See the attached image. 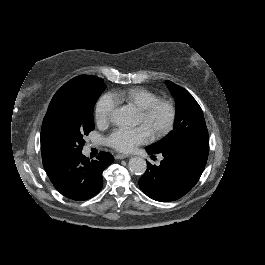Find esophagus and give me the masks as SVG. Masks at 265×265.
I'll return each instance as SVG.
<instances>
[{
    "instance_id": "obj_1",
    "label": "esophagus",
    "mask_w": 265,
    "mask_h": 265,
    "mask_svg": "<svg viewBox=\"0 0 265 265\" xmlns=\"http://www.w3.org/2000/svg\"><path fill=\"white\" fill-rule=\"evenodd\" d=\"M128 157H130V155H128V154H116L115 155L116 159H125V158H128Z\"/></svg>"
}]
</instances>
